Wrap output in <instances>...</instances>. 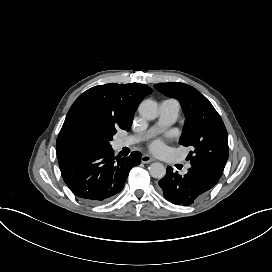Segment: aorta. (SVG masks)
I'll list each match as a JSON object with an SVG mask.
<instances>
[{
    "label": "aorta",
    "instance_id": "1",
    "mask_svg": "<svg viewBox=\"0 0 272 272\" xmlns=\"http://www.w3.org/2000/svg\"><path fill=\"white\" fill-rule=\"evenodd\" d=\"M139 114L143 117L152 120L159 116L158 104L156 101L151 99L144 100L139 108ZM149 173L153 178L162 179L166 175V168L160 162H154L149 166Z\"/></svg>",
    "mask_w": 272,
    "mask_h": 272
}]
</instances>
